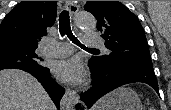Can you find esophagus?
<instances>
[{
    "instance_id": "1",
    "label": "esophagus",
    "mask_w": 171,
    "mask_h": 110,
    "mask_svg": "<svg viewBox=\"0 0 171 110\" xmlns=\"http://www.w3.org/2000/svg\"><path fill=\"white\" fill-rule=\"evenodd\" d=\"M65 9L69 11L71 17L74 18L79 10V5L75 2H66ZM79 103L80 100L77 92L69 88L66 89L65 95L61 100V108L63 110H75Z\"/></svg>"
}]
</instances>
